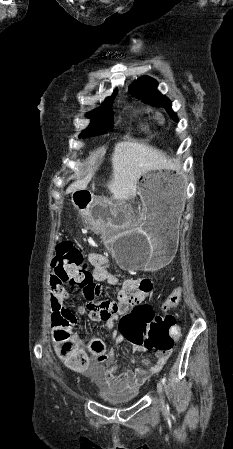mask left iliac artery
I'll use <instances>...</instances> for the list:
<instances>
[{"label": "left iliac artery", "mask_w": 233, "mask_h": 449, "mask_svg": "<svg viewBox=\"0 0 233 449\" xmlns=\"http://www.w3.org/2000/svg\"><path fill=\"white\" fill-rule=\"evenodd\" d=\"M165 382H166V379H165V377H163L162 383L165 384Z\"/></svg>", "instance_id": "obj_1"}]
</instances>
